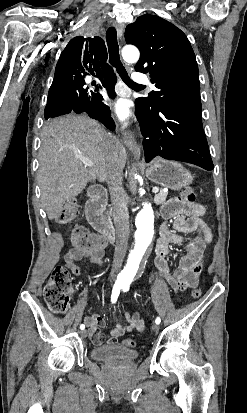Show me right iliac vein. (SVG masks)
I'll use <instances>...</instances> for the list:
<instances>
[{"instance_id":"63e3f726","label":"right iliac vein","mask_w":247,"mask_h":413,"mask_svg":"<svg viewBox=\"0 0 247 413\" xmlns=\"http://www.w3.org/2000/svg\"><path fill=\"white\" fill-rule=\"evenodd\" d=\"M87 335H88V331H87V330L80 331V336H81L82 338L87 337Z\"/></svg>"}]
</instances>
